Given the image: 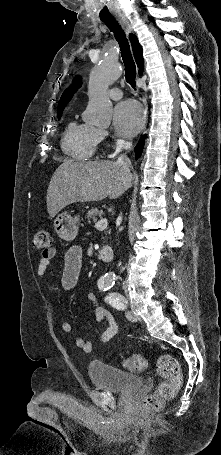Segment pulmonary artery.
<instances>
[{
	"label": "pulmonary artery",
	"mask_w": 221,
	"mask_h": 455,
	"mask_svg": "<svg viewBox=\"0 0 221 455\" xmlns=\"http://www.w3.org/2000/svg\"><path fill=\"white\" fill-rule=\"evenodd\" d=\"M109 97L113 100H120L122 98V92L119 88H112L109 90Z\"/></svg>",
	"instance_id": "1"
}]
</instances>
